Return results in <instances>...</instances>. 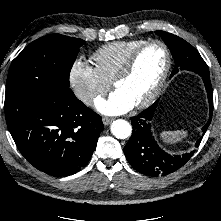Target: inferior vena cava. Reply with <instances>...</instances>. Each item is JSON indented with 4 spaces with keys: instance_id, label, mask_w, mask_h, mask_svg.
<instances>
[{
    "instance_id": "602c4592",
    "label": "inferior vena cava",
    "mask_w": 221,
    "mask_h": 221,
    "mask_svg": "<svg viewBox=\"0 0 221 221\" xmlns=\"http://www.w3.org/2000/svg\"><path fill=\"white\" fill-rule=\"evenodd\" d=\"M94 98H95V94L88 92V93H85L81 97V100L86 104H90Z\"/></svg>"
}]
</instances>
